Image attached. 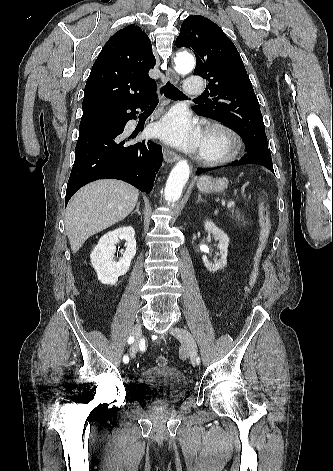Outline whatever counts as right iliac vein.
Returning <instances> with one entry per match:
<instances>
[{"label":"right iliac vein","mask_w":333,"mask_h":471,"mask_svg":"<svg viewBox=\"0 0 333 471\" xmlns=\"http://www.w3.org/2000/svg\"><path fill=\"white\" fill-rule=\"evenodd\" d=\"M132 334L135 338L131 348H130V355L131 357H135L136 353L139 349L140 339L142 336V326L141 324L137 323L132 328Z\"/></svg>","instance_id":"63e3f726"}]
</instances>
